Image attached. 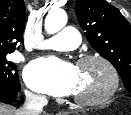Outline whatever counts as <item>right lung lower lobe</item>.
<instances>
[{
	"label": "right lung lower lobe",
	"instance_id": "obj_1",
	"mask_svg": "<svg viewBox=\"0 0 131 115\" xmlns=\"http://www.w3.org/2000/svg\"><path fill=\"white\" fill-rule=\"evenodd\" d=\"M19 91H20V84L15 89H12L10 91L0 92V102L3 103L11 102L16 98Z\"/></svg>",
	"mask_w": 131,
	"mask_h": 115
}]
</instances>
